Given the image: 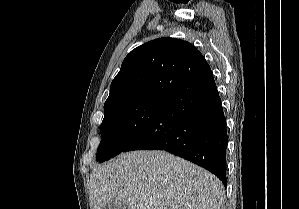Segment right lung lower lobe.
<instances>
[{
	"mask_svg": "<svg viewBox=\"0 0 299 209\" xmlns=\"http://www.w3.org/2000/svg\"><path fill=\"white\" fill-rule=\"evenodd\" d=\"M226 118L212 71L184 83L122 151L166 150L215 174L227 186Z\"/></svg>",
	"mask_w": 299,
	"mask_h": 209,
	"instance_id": "98d812e1",
	"label": "right lung lower lobe"
}]
</instances>
